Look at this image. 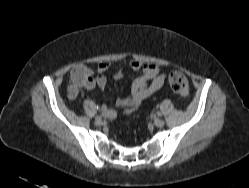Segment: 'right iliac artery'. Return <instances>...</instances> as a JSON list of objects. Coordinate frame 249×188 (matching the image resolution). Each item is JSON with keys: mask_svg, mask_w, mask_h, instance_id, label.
Here are the masks:
<instances>
[{"mask_svg": "<svg viewBox=\"0 0 249 188\" xmlns=\"http://www.w3.org/2000/svg\"><path fill=\"white\" fill-rule=\"evenodd\" d=\"M99 119H101V115H97V116L95 117V120H99Z\"/></svg>", "mask_w": 249, "mask_h": 188, "instance_id": "obj_1", "label": "right iliac artery"}]
</instances>
